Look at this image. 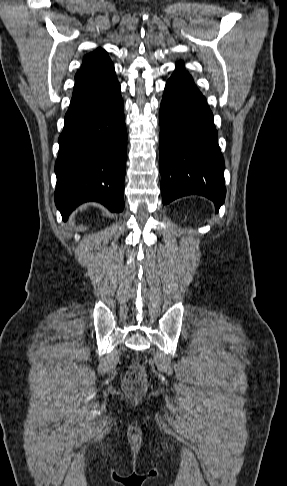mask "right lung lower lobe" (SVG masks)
Returning a JSON list of instances; mask_svg holds the SVG:
<instances>
[{
	"label": "right lung lower lobe",
	"instance_id": "obj_1",
	"mask_svg": "<svg viewBox=\"0 0 287 486\" xmlns=\"http://www.w3.org/2000/svg\"><path fill=\"white\" fill-rule=\"evenodd\" d=\"M120 84L108 82L73 93L59 137L55 203L67 220L81 203L124 208L126 126Z\"/></svg>",
	"mask_w": 287,
	"mask_h": 486
}]
</instances>
